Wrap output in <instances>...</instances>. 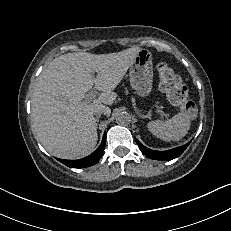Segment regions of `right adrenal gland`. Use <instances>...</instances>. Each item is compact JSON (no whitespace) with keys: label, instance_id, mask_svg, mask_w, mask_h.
I'll list each match as a JSON object with an SVG mask.
<instances>
[{"label":"right adrenal gland","instance_id":"right-adrenal-gland-1","mask_svg":"<svg viewBox=\"0 0 231 231\" xmlns=\"http://www.w3.org/2000/svg\"><path fill=\"white\" fill-rule=\"evenodd\" d=\"M100 116H101V115H97V116H96V126H98Z\"/></svg>","mask_w":231,"mask_h":231}]
</instances>
